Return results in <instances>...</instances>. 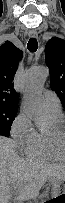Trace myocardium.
<instances>
[{
	"label": "myocardium",
	"instance_id": "myocardium-1",
	"mask_svg": "<svg viewBox=\"0 0 65 203\" xmlns=\"http://www.w3.org/2000/svg\"><path fill=\"white\" fill-rule=\"evenodd\" d=\"M63 134V129H58L51 136L57 141L58 145H61L63 141Z\"/></svg>",
	"mask_w": 65,
	"mask_h": 203
}]
</instances>
